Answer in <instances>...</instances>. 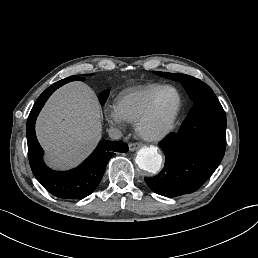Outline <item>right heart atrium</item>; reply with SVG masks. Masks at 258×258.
<instances>
[{
    "label": "right heart atrium",
    "mask_w": 258,
    "mask_h": 258,
    "mask_svg": "<svg viewBox=\"0 0 258 258\" xmlns=\"http://www.w3.org/2000/svg\"><path fill=\"white\" fill-rule=\"evenodd\" d=\"M105 119L111 125L121 127L125 124V119L116 106H110L106 109Z\"/></svg>",
    "instance_id": "obj_1"
}]
</instances>
